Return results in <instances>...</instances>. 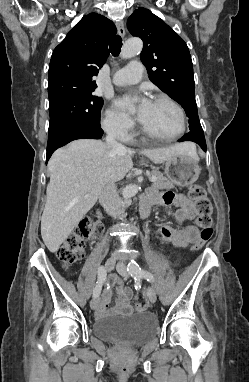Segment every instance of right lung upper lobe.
<instances>
[{"label":"right lung upper lobe","instance_id":"right-lung-upper-lobe-1","mask_svg":"<svg viewBox=\"0 0 249 382\" xmlns=\"http://www.w3.org/2000/svg\"><path fill=\"white\" fill-rule=\"evenodd\" d=\"M116 27L106 17L90 13L83 17L54 49L49 65V104L60 99L92 94L93 77L106 61L108 43Z\"/></svg>","mask_w":249,"mask_h":382}]
</instances>
